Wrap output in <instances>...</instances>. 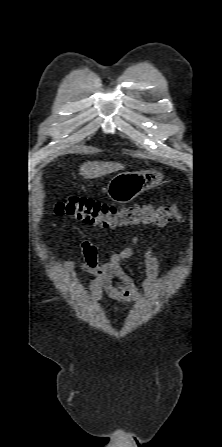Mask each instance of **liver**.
Here are the masks:
<instances>
[{"instance_id": "1", "label": "liver", "mask_w": 222, "mask_h": 447, "mask_svg": "<svg viewBox=\"0 0 222 447\" xmlns=\"http://www.w3.org/2000/svg\"><path fill=\"white\" fill-rule=\"evenodd\" d=\"M124 166L121 163L114 162H87L80 167V174L85 179H94L115 171L122 170Z\"/></svg>"}]
</instances>
